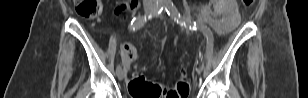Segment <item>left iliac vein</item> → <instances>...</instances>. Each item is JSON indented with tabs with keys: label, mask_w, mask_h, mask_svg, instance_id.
<instances>
[{
	"label": "left iliac vein",
	"mask_w": 308,
	"mask_h": 98,
	"mask_svg": "<svg viewBox=\"0 0 308 98\" xmlns=\"http://www.w3.org/2000/svg\"><path fill=\"white\" fill-rule=\"evenodd\" d=\"M159 17H160L161 19L164 18L163 15H160ZM197 72H198L199 74L202 72V66H201V64L198 65V67H197Z\"/></svg>",
	"instance_id": "obj_1"
}]
</instances>
